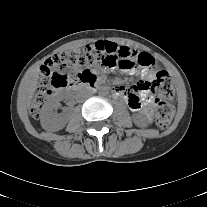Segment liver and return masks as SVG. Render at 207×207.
Segmentation results:
<instances>
[{
  "instance_id": "obj_1",
  "label": "liver",
  "mask_w": 207,
  "mask_h": 207,
  "mask_svg": "<svg viewBox=\"0 0 207 207\" xmlns=\"http://www.w3.org/2000/svg\"><path fill=\"white\" fill-rule=\"evenodd\" d=\"M39 70H35L30 74L28 79L25 82L24 88H23V98L26 102V104L29 106L32 102L33 95L36 91L38 80H39Z\"/></svg>"
}]
</instances>
